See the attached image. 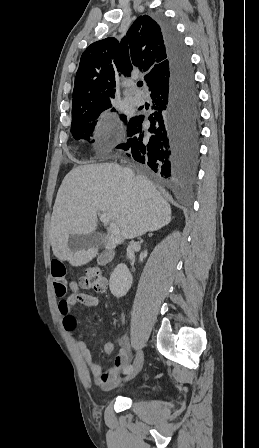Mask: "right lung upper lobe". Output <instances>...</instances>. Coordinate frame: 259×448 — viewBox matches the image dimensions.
<instances>
[{
  "label": "right lung upper lobe",
  "instance_id": "obj_1",
  "mask_svg": "<svg viewBox=\"0 0 259 448\" xmlns=\"http://www.w3.org/2000/svg\"><path fill=\"white\" fill-rule=\"evenodd\" d=\"M132 65L148 71L144 77L150 96L167 89L170 65L160 24L139 16L119 43L106 38L92 43L82 54L75 77L72 112L111 105L118 72L130 75Z\"/></svg>",
  "mask_w": 259,
  "mask_h": 448
}]
</instances>
